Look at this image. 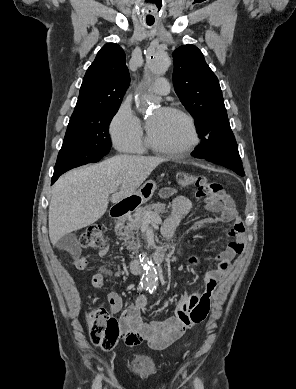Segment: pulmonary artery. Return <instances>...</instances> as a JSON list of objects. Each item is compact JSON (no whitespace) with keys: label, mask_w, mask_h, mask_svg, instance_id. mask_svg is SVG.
I'll use <instances>...</instances> for the list:
<instances>
[{"label":"pulmonary artery","mask_w":296,"mask_h":389,"mask_svg":"<svg viewBox=\"0 0 296 389\" xmlns=\"http://www.w3.org/2000/svg\"><path fill=\"white\" fill-rule=\"evenodd\" d=\"M151 89L156 94L166 95L169 93L170 86L166 79L158 78L153 82Z\"/></svg>","instance_id":"pulmonary-artery-1"}]
</instances>
